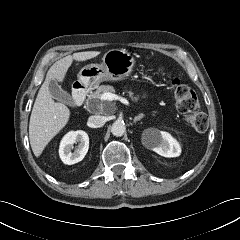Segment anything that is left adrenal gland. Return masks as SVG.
<instances>
[{
  "label": "left adrenal gland",
  "instance_id": "1",
  "mask_svg": "<svg viewBox=\"0 0 240 240\" xmlns=\"http://www.w3.org/2000/svg\"><path fill=\"white\" fill-rule=\"evenodd\" d=\"M143 117H144V115L140 114L134 118L133 122L136 123L137 121L141 120Z\"/></svg>",
  "mask_w": 240,
  "mask_h": 240
}]
</instances>
